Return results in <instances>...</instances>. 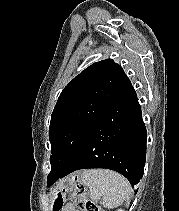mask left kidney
I'll list each match as a JSON object with an SVG mask.
<instances>
[{"label": "left kidney", "mask_w": 179, "mask_h": 211, "mask_svg": "<svg viewBox=\"0 0 179 211\" xmlns=\"http://www.w3.org/2000/svg\"><path fill=\"white\" fill-rule=\"evenodd\" d=\"M117 211H124V210H122V209H119V210H117Z\"/></svg>", "instance_id": "left-kidney-1"}]
</instances>
